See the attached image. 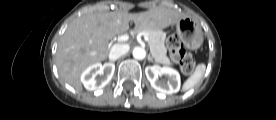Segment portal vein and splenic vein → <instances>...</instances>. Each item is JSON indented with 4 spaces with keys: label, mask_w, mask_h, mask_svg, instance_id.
I'll use <instances>...</instances> for the list:
<instances>
[{
    "label": "portal vein and splenic vein",
    "mask_w": 276,
    "mask_h": 120,
    "mask_svg": "<svg viewBox=\"0 0 276 120\" xmlns=\"http://www.w3.org/2000/svg\"><path fill=\"white\" fill-rule=\"evenodd\" d=\"M144 38L147 42H149L148 36H145ZM128 39H129V36L127 34H124V35L119 36L117 40H118V42H125Z\"/></svg>",
    "instance_id": "portal-vein-and-splenic-vein-1"
}]
</instances>
